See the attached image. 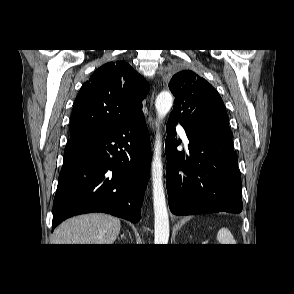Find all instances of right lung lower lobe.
Segmentation results:
<instances>
[{"mask_svg":"<svg viewBox=\"0 0 294 294\" xmlns=\"http://www.w3.org/2000/svg\"><path fill=\"white\" fill-rule=\"evenodd\" d=\"M149 168L150 139L142 111L110 129L70 138L52 230L69 217L90 212L138 222Z\"/></svg>","mask_w":294,"mask_h":294,"instance_id":"1","label":"right lung lower lobe"}]
</instances>
